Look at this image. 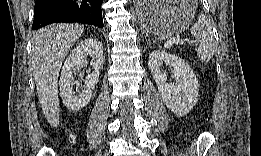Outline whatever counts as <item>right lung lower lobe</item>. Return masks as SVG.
<instances>
[{"mask_svg": "<svg viewBox=\"0 0 261 156\" xmlns=\"http://www.w3.org/2000/svg\"><path fill=\"white\" fill-rule=\"evenodd\" d=\"M103 0H36L33 30L58 22H79L103 28Z\"/></svg>", "mask_w": 261, "mask_h": 156, "instance_id": "obj_1", "label": "right lung lower lobe"}]
</instances>
